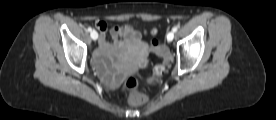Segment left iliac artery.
<instances>
[{
	"instance_id": "obj_1",
	"label": "left iliac artery",
	"mask_w": 276,
	"mask_h": 120,
	"mask_svg": "<svg viewBox=\"0 0 276 120\" xmlns=\"http://www.w3.org/2000/svg\"><path fill=\"white\" fill-rule=\"evenodd\" d=\"M177 30H178V27H177V26H175V27L172 28V31H173V32H177Z\"/></svg>"
}]
</instances>
